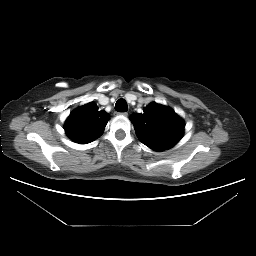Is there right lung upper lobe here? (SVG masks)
Masks as SVG:
<instances>
[{"instance_id":"1","label":"right lung upper lobe","mask_w":256,"mask_h":256,"mask_svg":"<svg viewBox=\"0 0 256 256\" xmlns=\"http://www.w3.org/2000/svg\"><path fill=\"white\" fill-rule=\"evenodd\" d=\"M108 120V113L98 111L97 105L90 102L70 114L64 129L73 141L87 144L102 135Z\"/></svg>"}]
</instances>
